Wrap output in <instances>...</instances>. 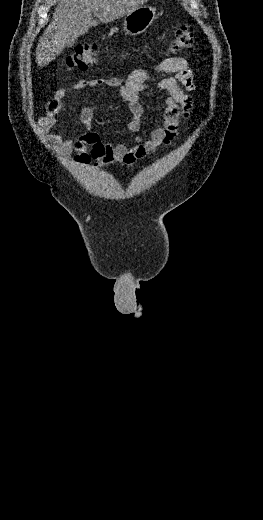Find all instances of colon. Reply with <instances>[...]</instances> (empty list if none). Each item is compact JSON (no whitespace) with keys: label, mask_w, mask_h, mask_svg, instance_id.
I'll return each mask as SVG.
<instances>
[{"label":"colon","mask_w":263,"mask_h":520,"mask_svg":"<svg viewBox=\"0 0 263 520\" xmlns=\"http://www.w3.org/2000/svg\"><path fill=\"white\" fill-rule=\"evenodd\" d=\"M194 34L191 28L183 24L173 34L170 51L179 52L188 49L193 44ZM99 52L96 44H83L77 46L67 57L66 64L69 68L85 71L94 65Z\"/></svg>","instance_id":"1"}]
</instances>
